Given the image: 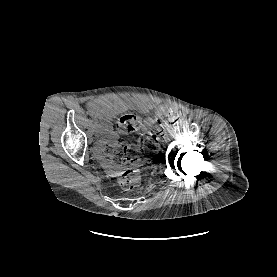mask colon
Wrapping results in <instances>:
<instances>
[{
	"label": "colon",
	"instance_id": "5ec220e1",
	"mask_svg": "<svg viewBox=\"0 0 277 277\" xmlns=\"http://www.w3.org/2000/svg\"><path fill=\"white\" fill-rule=\"evenodd\" d=\"M178 112L172 111L158 118L150 130L142 135L139 148L133 145H122L115 142L106 143L102 147V156L115 165L138 164L142 158L150 157L159 151V138L166 129L178 121ZM141 119L135 114H125L116 122L120 134H129L141 128ZM140 183V175L134 168H129L118 177L119 186L126 191L133 190Z\"/></svg>",
	"mask_w": 277,
	"mask_h": 277
}]
</instances>
